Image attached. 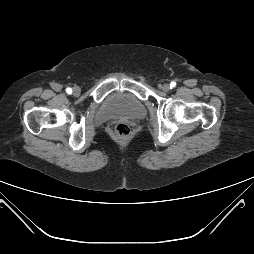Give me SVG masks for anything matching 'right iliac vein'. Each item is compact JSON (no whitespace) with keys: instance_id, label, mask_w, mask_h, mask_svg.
<instances>
[{"instance_id":"1","label":"right iliac vein","mask_w":254,"mask_h":254,"mask_svg":"<svg viewBox=\"0 0 254 254\" xmlns=\"http://www.w3.org/2000/svg\"><path fill=\"white\" fill-rule=\"evenodd\" d=\"M80 93H81V89H80L78 86H75V87L73 88V94H74L75 96H79Z\"/></svg>"}]
</instances>
